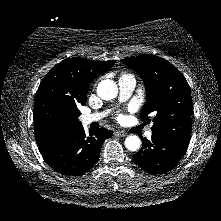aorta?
<instances>
[{
    "label": "aorta",
    "instance_id": "obj_1",
    "mask_svg": "<svg viewBox=\"0 0 221 221\" xmlns=\"http://www.w3.org/2000/svg\"><path fill=\"white\" fill-rule=\"evenodd\" d=\"M97 94L103 100L114 99L118 94V87L112 80H102L97 86ZM125 147L130 151H137L141 147V140L136 135H130L125 139Z\"/></svg>",
    "mask_w": 221,
    "mask_h": 221
}]
</instances>
